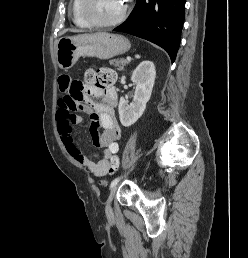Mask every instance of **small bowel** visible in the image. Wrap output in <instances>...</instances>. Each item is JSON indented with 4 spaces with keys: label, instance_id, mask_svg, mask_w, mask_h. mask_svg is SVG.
I'll return each mask as SVG.
<instances>
[{
    "label": "small bowel",
    "instance_id": "1",
    "mask_svg": "<svg viewBox=\"0 0 248 258\" xmlns=\"http://www.w3.org/2000/svg\"><path fill=\"white\" fill-rule=\"evenodd\" d=\"M62 96L58 100L56 115L58 132L68 154L79 164L86 166L96 177L105 176L110 171L111 159L119 152L118 140L121 128L115 117L117 106V92L111 85L87 86L85 96H76L78 81H71L68 77L59 79ZM95 99H100L96 101ZM79 110L90 113V132L93 145L104 148L101 157L87 156L75 144L73 139V126L82 122V117L74 111ZM102 132H98V128ZM103 187H108L107 179L101 180Z\"/></svg>",
    "mask_w": 248,
    "mask_h": 258
}]
</instances>
